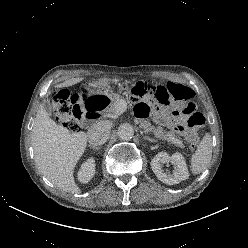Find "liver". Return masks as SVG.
I'll list each match as a JSON object with an SVG mask.
<instances>
[{"instance_id": "obj_1", "label": "liver", "mask_w": 248, "mask_h": 248, "mask_svg": "<svg viewBox=\"0 0 248 248\" xmlns=\"http://www.w3.org/2000/svg\"><path fill=\"white\" fill-rule=\"evenodd\" d=\"M83 78H71L57 85L59 88L75 85ZM35 163L40 172L55 186L69 193H79L74 180V168L87 146L84 132L71 133L57 125L40 105L32 129Z\"/></svg>"}]
</instances>
